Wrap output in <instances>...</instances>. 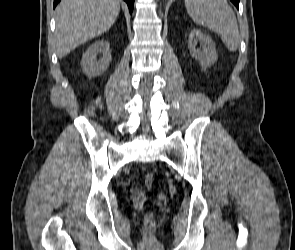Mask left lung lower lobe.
Instances as JSON below:
<instances>
[{"instance_id": "obj_1", "label": "left lung lower lobe", "mask_w": 295, "mask_h": 250, "mask_svg": "<svg viewBox=\"0 0 295 250\" xmlns=\"http://www.w3.org/2000/svg\"><path fill=\"white\" fill-rule=\"evenodd\" d=\"M233 3H234V5L238 8V5H239V0H231Z\"/></svg>"}]
</instances>
